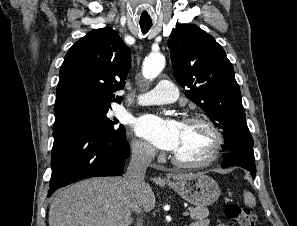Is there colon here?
<instances>
[{"instance_id": "1", "label": "colon", "mask_w": 297, "mask_h": 226, "mask_svg": "<svg viewBox=\"0 0 297 226\" xmlns=\"http://www.w3.org/2000/svg\"><path fill=\"white\" fill-rule=\"evenodd\" d=\"M225 215L228 219L237 222L240 226H255V216L236 203L226 205Z\"/></svg>"}]
</instances>
